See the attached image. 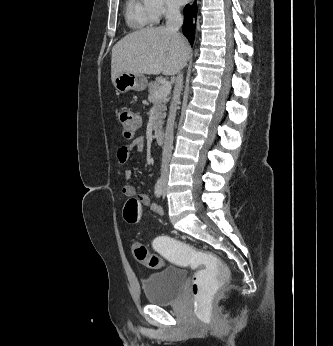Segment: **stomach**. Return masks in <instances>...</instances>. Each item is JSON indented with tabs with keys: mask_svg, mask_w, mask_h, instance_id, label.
Segmentation results:
<instances>
[{
	"mask_svg": "<svg viewBox=\"0 0 333 346\" xmlns=\"http://www.w3.org/2000/svg\"><path fill=\"white\" fill-rule=\"evenodd\" d=\"M147 83L145 76L132 73H121L113 81V85L119 93H125L130 90L143 91Z\"/></svg>",
	"mask_w": 333,
	"mask_h": 346,
	"instance_id": "1",
	"label": "stomach"
}]
</instances>
